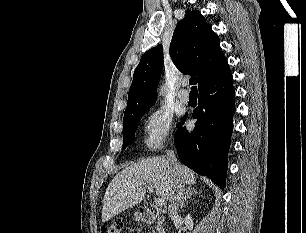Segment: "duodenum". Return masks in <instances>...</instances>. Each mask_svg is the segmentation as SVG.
<instances>
[{"instance_id":"obj_1","label":"duodenum","mask_w":306,"mask_h":233,"mask_svg":"<svg viewBox=\"0 0 306 233\" xmlns=\"http://www.w3.org/2000/svg\"><path fill=\"white\" fill-rule=\"evenodd\" d=\"M139 214L142 222L145 224H152L156 221V215L150 208L147 207L141 208L139 210ZM159 233H165V231L161 229Z\"/></svg>"}]
</instances>
